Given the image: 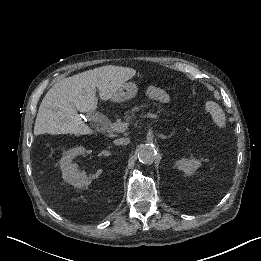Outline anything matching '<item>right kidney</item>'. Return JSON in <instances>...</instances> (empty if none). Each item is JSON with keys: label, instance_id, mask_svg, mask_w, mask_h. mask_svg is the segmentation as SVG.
Instances as JSON below:
<instances>
[{"label": "right kidney", "instance_id": "obj_1", "mask_svg": "<svg viewBox=\"0 0 261 261\" xmlns=\"http://www.w3.org/2000/svg\"><path fill=\"white\" fill-rule=\"evenodd\" d=\"M84 153L85 149L83 147L74 148L68 151L60 160V168L64 181L78 188L88 186L91 183V180L85 173H78L72 164V159L75 156L83 155Z\"/></svg>", "mask_w": 261, "mask_h": 261}]
</instances>
